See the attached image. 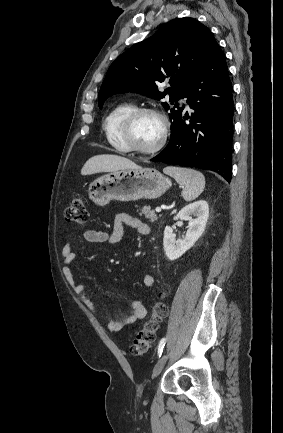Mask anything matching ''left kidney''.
I'll return each instance as SVG.
<instances>
[{"mask_svg": "<svg viewBox=\"0 0 283 433\" xmlns=\"http://www.w3.org/2000/svg\"><path fill=\"white\" fill-rule=\"evenodd\" d=\"M208 217L209 206L205 200L188 204L176 214L174 220L188 221V230L183 239L176 240L173 229L170 226L165 227L163 246L169 260L178 259L196 243L205 230Z\"/></svg>", "mask_w": 283, "mask_h": 433, "instance_id": "obj_1", "label": "left kidney"}]
</instances>
